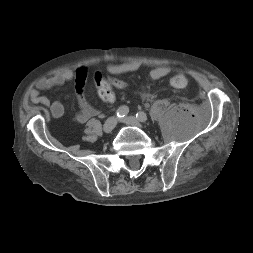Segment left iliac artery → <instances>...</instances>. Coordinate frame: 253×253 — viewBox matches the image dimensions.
Masks as SVG:
<instances>
[{"mask_svg": "<svg viewBox=\"0 0 253 253\" xmlns=\"http://www.w3.org/2000/svg\"><path fill=\"white\" fill-rule=\"evenodd\" d=\"M136 118H137L139 121H141V122L147 121V115H146V113H144V112H142V111H140V112H138V113L136 114Z\"/></svg>", "mask_w": 253, "mask_h": 253, "instance_id": "left-iliac-artery-1", "label": "left iliac artery"}]
</instances>
